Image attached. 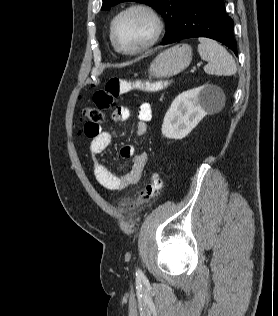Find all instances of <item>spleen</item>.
<instances>
[{"label":"spleen","mask_w":278,"mask_h":316,"mask_svg":"<svg viewBox=\"0 0 278 316\" xmlns=\"http://www.w3.org/2000/svg\"><path fill=\"white\" fill-rule=\"evenodd\" d=\"M198 52L208 61L204 71L208 74L230 76L236 73L237 67L232 55L219 43L209 38H199Z\"/></svg>","instance_id":"1"}]
</instances>
